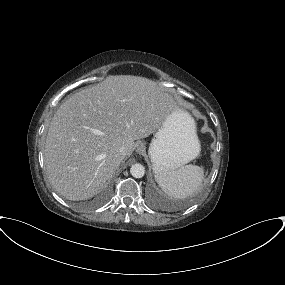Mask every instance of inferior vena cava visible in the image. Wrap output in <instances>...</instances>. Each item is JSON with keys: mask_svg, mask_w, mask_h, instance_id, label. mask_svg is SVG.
Listing matches in <instances>:
<instances>
[{"mask_svg": "<svg viewBox=\"0 0 285 285\" xmlns=\"http://www.w3.org/2000/svg\"><path fill=\"white\" fill-rule=\"evenodd\" d=\"M119 155L123 158L126 156V148L125 147L119 148Z\"/></svg>", "mask_w": 285, "mask_h": 285, "instance_id": "1", "label": "inferior vena cava"}]
</instances>
